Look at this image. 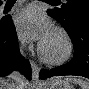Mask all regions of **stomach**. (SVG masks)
<instances>
[{"instance_id":"1","label":"stomach","mask_w":89,"mask_h":89,"mask_svg":"<svg viewBox=\"0 0 89 89\" xmlns=\"http://www.w3.org/2000/svg\"><path fill=\"white\" fill-rule=\"evenodd\" d=\"M42 89H74V87L67 80L51 79L42 86Z\"/></svg>"}]
</instances>
